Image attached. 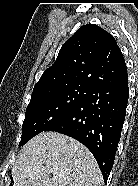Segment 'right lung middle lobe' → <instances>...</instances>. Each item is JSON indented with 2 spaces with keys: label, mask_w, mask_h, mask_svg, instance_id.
I'll return each instance as SVG.
<instances>
[{
  "label": "right lung middle lobe",
  "mask_w": 138,
  "mask_h": 186,
  "mask_svg": "<svg viewBox=\"0 0 138 186\" xmlns=\"http://www.w3.org/2000/svg\"><path fill=\"white\" fill-rule=\"evenodd\" d=\"M88 91V87L70 85L32 93L25 113L19 146L64 118L83 102Z\"/></svg>",
  "instance_id": "right-lung-middle-lobe-1"
}]
</instances>
